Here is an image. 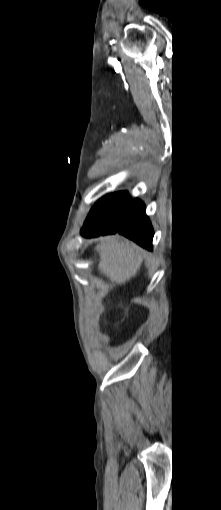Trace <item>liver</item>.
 Listing matches in <instances>:
<instances>
[{
	"label": "liver",
	"mask_w": 221,
	"mask_h": 510,
	"mask_svg": "<svg viewBox=\"0 0 221 510\" xmlns=\"http://www.w3.org/2000/svg\"><path fill=\"white\" fill-rule=\"evenodd\" d=\"M100 259L98 270L115 285H122L135 277L144 257V250L118 235L99 239L95 247Z\"/></svg>",
	"instance_id": "1"
}]
</instances>
